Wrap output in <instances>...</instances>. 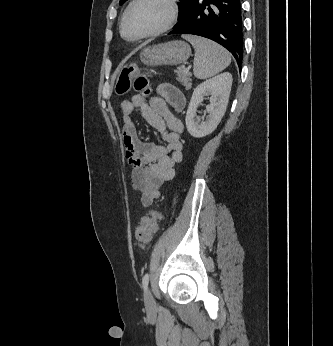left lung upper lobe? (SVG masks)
Masks as SVG:
<instances>
[{
    "instance_id": "obj_1",
    "label": "left lung upper lobe",
    "mask_w": 333,
    "mask_h": 346,
    "mask_svg": "<svg viewBox=\"0 0 333 346\" xmlns=\"http://www.w3.org/2000/svg\"><path fill=\"white\" fill-rule=\"evenodd\" d=\"M127 0H120L119 4L122 5L123 3H125ZM192 0H180V7H179V17L178 20L180 21L182 19V17L184 16L186 9L188 7V5L190 4Z\"/></svg>"
}]
</instances>
